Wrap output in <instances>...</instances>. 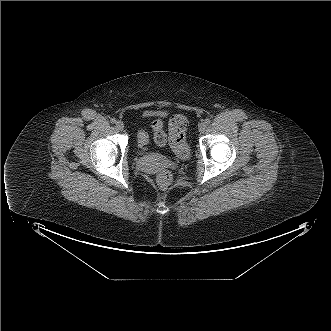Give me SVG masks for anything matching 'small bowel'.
Wrapping results in <instances>:
<instances>
[{
    "mask_svg": "<svg viewBox=\"0 0 331 331\" xmlns=\"http://www.w3.org/2000/svg\"><path fill=\"white\" fill-rule=\"evenodd\" d=\"M154 128H155V130L160 129V124L157 123V124L154 126ZM145 140H146L145 135L142 134V135H141V141L144 143Z\"/></svg>",
    "mask_w": 331,
    "mask_h": 331,
    "instance_id": "c3829d8e",
    "label": "small bowel"
}]
</instances>
